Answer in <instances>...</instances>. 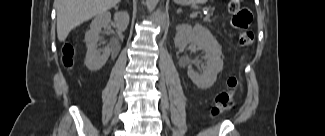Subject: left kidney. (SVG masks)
I'll list each match as a JSON object with an SVG mask.
<instances>
[{"instance_id":"left-kidney-1","label":"left kidney","mask_w":325,"mask_h":136,"mask_svg":"<svg viewBox=\"0 0 325 136\" xmlns=\"http://www.w3.org/2000/svg\"><path fill=\"white\" fill-rule=\"evenodd\" d=\"M175 46L184 48L189 43L196 45L205 53L206 65L203 73L188 68V76L192 82L200 89H208L213 86L217 79V74L223 69L221 59V46L204 26L197 24L192 27L189 24H180L176 27Z\"/></svg>"}]
</instances>
